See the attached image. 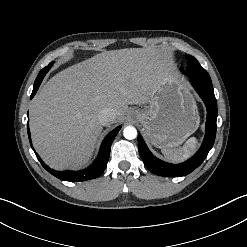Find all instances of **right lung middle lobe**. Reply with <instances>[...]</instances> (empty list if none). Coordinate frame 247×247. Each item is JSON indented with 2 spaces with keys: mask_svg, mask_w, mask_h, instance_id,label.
<instances>
[{
  "mask_svg": "<svg viewBox=\"0 0 247 247\" xmlns=\"http://www.w3.org/2000/svg\"><path fill=\"white\" fill-rule=\"evenodd\" d=\"M52 64H53V63L51 62L48 66H49V67H51V66H52Z\"/></svg>",
  "mask_w": 247,
  "mask_h": 247,
  "instance_id": "right-lung-middle-lobe-1",
  "label": "right lung middle lobe"
}]
</instances>
